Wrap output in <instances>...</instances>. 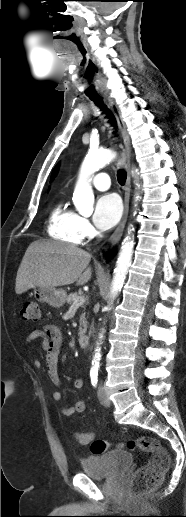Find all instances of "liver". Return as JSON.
Wrapping results in <instances>:
<instances>
[{
    "label": "liver",
    "mask_w": 186,
    "mask_h": 517,
    "mask_svg": "<svg viewBox=\"0 0 186 517\" xmlns=\"http://www.w3.org/2000/svg\"><path fill=\"white\" fill-rule=\"evenodd\" d=\"M91 254L56 241H35L29 245L17 271L15 292L34 287L84 285L92 276Z\"/></svg>",
    "instance_id": "obj_1"
}]
</instances>
